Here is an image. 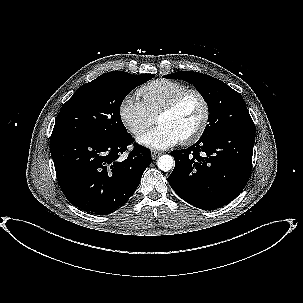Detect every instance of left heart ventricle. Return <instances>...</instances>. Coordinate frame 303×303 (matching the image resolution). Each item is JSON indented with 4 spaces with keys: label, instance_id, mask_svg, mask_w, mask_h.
<instances>
[{
    "label": "left heart ventricle",
    "instance_id": "obj_1",
    "mask_svg": "<svg viewBox=\"0 0 303 303\" xmlns=\"http://www.w3.org/2000/svg\"><path fill=\"white\" fill-rule=\"evenodd\" d=\"M201 117V102L197 96L190 95L182 101L176 110L160 116L157 122L170 127L182 139L198 127Z\"/></svg>",
    "mask_w": 303,
    "mask_h": 303
}]
</instances>
